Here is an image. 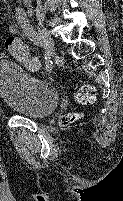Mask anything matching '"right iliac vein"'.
I'll list each match as a JSON object with an SVG mask.
<instances>
[{
    "label": "right iliac vein",
    "mask_w": 123,
    "mask_h": 201,
    "mask_svg": "<svg viewBox=\"0 0 123 201\" xmlns=\"http://www.w3.org/2000/svg\"><path fill=\"white\" fill-rule=\"evenodd\" d=\"M37 28L39 30L40 35L42 36V40H43V43L46 46V48L48 50H53L54 42H53V39L51 38L50 33L48 32V30L45 27L40 26V25H38Z\"/></svg>",
    "instance_id": "1"
}]
</instances>
